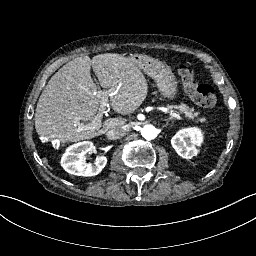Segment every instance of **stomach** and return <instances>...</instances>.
I'll return each mask as SVG.
<instances>
[{"label":"stomach","mask_w":256,"mask_h":256,"mask_svg":"<svg viewBox=\"0 0 256 256\" xmlns=\"http://www.w3.org/2000/svg\"><path fill=\"white\" fill-rule=\"evenodd\" d=\"M135 65L142 72L152 75L160 95L169 101H174L178 94L177 79L162 60L147 53H140L135 58Z\"/></svg>","instance_id":"0dacf381"}]
</instances>
